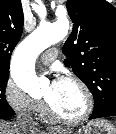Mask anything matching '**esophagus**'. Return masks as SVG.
<instances>
[{
  "label": "esophagus",
  "mask_w": 116,
  "mask_h": 134,
  "mask_svg": "<svg viewBox=\"0 0 116 134\" xmlns=\"http://www.w3.org/2000/svg\"><path fill=\"white\" fill-rule=\"evenodd\" d=\"M47 132L51 134V133L56 132V129L53 127H47Z\"/></svg>",
  "instance_id": "1"
}]
</instances>
